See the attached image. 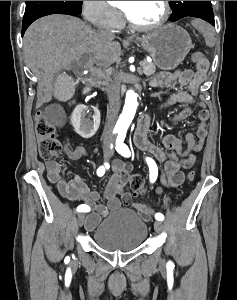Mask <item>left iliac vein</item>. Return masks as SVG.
<instances>
[{
	"label": "left iliac vein",
	"instance_id": "obj_1",
	"mask_svg": "<svg viewBox=\"0 0 237 300\" xmlns=\"http://www.w3.org/2000/svg\"><path fill=\"white\" fill-rule=\"evenodd\" d=\"M113 154V152L111 151V155ZM154 229L156 232H160L163 230V223L160 221H155L154 223Z\"/></svg>",
	"mask_w": 237,
	"mask_h": 300
}]
</instances>
